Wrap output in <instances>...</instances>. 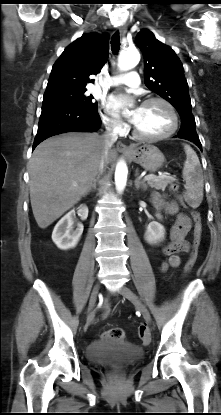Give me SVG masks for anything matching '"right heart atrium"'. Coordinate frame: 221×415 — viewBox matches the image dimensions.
<instances>
[{
    "label": "right heart atrium",
    "mask_w": 221,
    "mask_h": 415,
    "mask_svg": "<svg viewBox=\"0 0 221 415\" xmlns=\"http://www.w3.org/2000/svg\"><path fill=\"white\" fill-rule=\"evenodd\" d=\"M101 119L106 130L113 135L122 134L126 129V125L120 119L106 110L101 111Z\"/></svg>",
    "instance_id": "obj_1"
}]
</instances>
